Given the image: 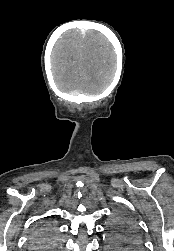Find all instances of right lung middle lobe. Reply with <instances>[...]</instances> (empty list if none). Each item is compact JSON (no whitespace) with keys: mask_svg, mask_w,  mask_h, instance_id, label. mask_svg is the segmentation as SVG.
<instances>
[{"mask_svg":"<svg viewBox=\"0 0 174 251\" xmlns=\"http://www.w3.org/2000/svg\"><path fill=\"white\" fill-rule=\"evenodd\" d=\"M54 228L49 224L39 226L33 233L30 245L34 250L55 251L59 243L53 238Z\"/></svg>","mask_w":174,"mask_h":251,"instance_id":"1","label":"right lung middle lobe"}]
</instances>
